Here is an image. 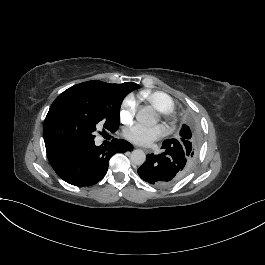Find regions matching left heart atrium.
Segmentation results:
<instances>
[{
  "mask_svg": "<svg viewBox=\"0 0 265 265\" xmlns=\"http://www.w3.org/2000/svg\"><path fill=\"white\" fill-rule=\"evenodd\" d=\"M164 134L165 130L160 125L149 126L141 123L134 124L124 132V136L128 140L140 145H148Z\"/></svg>",
  "mask_w": 265,
  "mask_h": 265,
  "instance_id": "39dd6f15",
  "label": "left heart atrium"
}]
</instances>
